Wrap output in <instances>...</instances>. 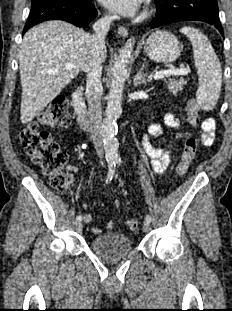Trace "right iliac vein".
<instances>
[{
	"label": "right iliac vein",
	"instance_id": "obj_1",
	"mask_svg": "<svg viewBox=\"0 0 232 311\" xmlns=\"http://www.w3.org/2000/svg\"><path fill=\"white\" fill-rule=\"evenodd\" d=\"M82 227H83V225H82L81 222H78V223L76 224V228H77L78 231H81V230H82Z\"/></svg>",
	"mask_w": 232,
	"mask_h": 311
}]
</instances>
